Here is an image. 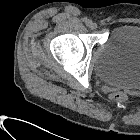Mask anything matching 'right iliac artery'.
<instances>
[{
  "label": "right iliac artery",
  "mask_w": 140,
  "mask_h": 140,
  "mask_svg": "<svg viewBox=\"0 0 140 140\" xmlns=\"http://www.w3.org/2000/svg\"><path fill=\"white\" fill-rule=\"evenodd\" d=\"M85 22H86V25H87V26H90V25L92 24V21H91V20H89V19H88V20H86Z\"/></svg>",
  "instance_id": "right-iliac-artery-1"
}]
</instances>
